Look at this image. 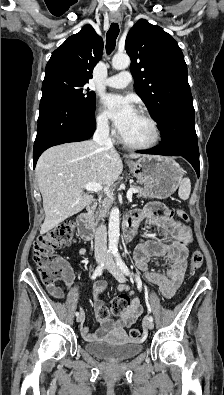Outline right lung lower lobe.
<instances>
[{
  "label": "right lung lower lobe",
  "mask_w": 224,
  "mask_h": 395,
  "mask_svg": "<svg viewBox=\"0 0 224 395\" xmlns=\"http://www.w3.org/2000/svg\"><path fill=\"white\" fill-rule=\"evenodd\" d=\"M94 110H81L52 95H42L33 165L49 147L89 139L95 131Z\"/></svg>",
  "instance_id": "98d812e1"
}]
</instances>
